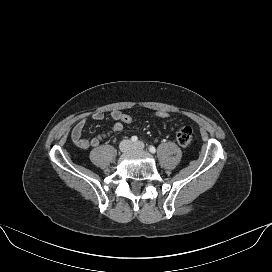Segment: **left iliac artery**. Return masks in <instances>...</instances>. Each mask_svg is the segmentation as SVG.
I'll return each mask as SVG.
<instances>
[{"instance_id": "left-iliac-artery-1", "label": "left iliac artery", "mask_w": 272, "mask_h": 272, "mask_svg": "<svg viewBox=\"0 0 272 272\" xmlns=\"http://www.w3.org/2000/svg\"><path fill=\"white\" fill-rule=\"evenodd\" d=\"M149 151H150L151 153H155V152H156V149H155L154 146H150V147H149Z\"/></svg>"}]
</instances>
